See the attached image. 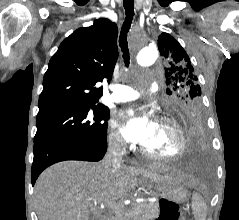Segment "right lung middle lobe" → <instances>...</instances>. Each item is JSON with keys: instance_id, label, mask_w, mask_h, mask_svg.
I'll return each instance as SVG.
<instances>
[{"instance_id": "right-lung-middle-lobe-1", "label": "right lung middle lobe", "mask_w": 239, "mask_h": 220, "mask_svg": "<svg viewBox=\"0 0 239 220\" xmlns=\"http://www.w3.org/2000/svg\"><path fill=\"white\" fill-rule=\"evenodd\" d=\"M109 116V109L104 105L39 110L34 144L49 140L104 143L107 138Z\"/></svg>"}]
</instances>
